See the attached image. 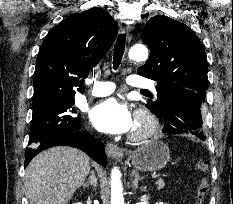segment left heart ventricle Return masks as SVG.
<instances>
[{"instance_id":"1","label":"left heart ventricle","mask_w":233,"mask_h":204,"mask_svg":"<svg viewBox=\"0 0 233 204\" xmlns=\"http://www.w3.org/2000/svg\"><path fill=\"white\" fill-rule=\"evenodd\" d=\"M135 126H136V125H135V123H134L133 129L135 128Z\"/></svg>"}]
</instances>
